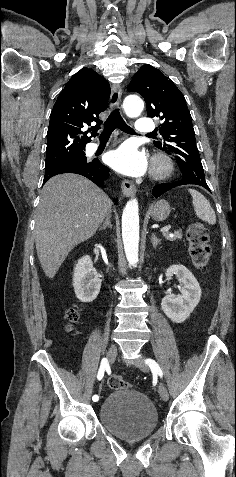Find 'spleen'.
Here are the masks:
<instances>
[{"label":"spleen","mask_w":236,"mask_h":477,"mask_svg":"<svg viewBox=\"0 0 236 477\" xmlns=\"http://www.w3.org/2000/svg\"><path fill=\"white\" fill-rule=\"evenodd\" d=\"M189 192L193 198L196 216L202 221L214 225L216 223V215L209 201L197 190L189 189Z\"/></svg>","instance_id":"1"}]
</instances>
